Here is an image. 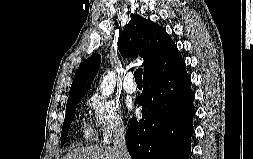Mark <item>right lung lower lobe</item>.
I'll return each instance as SVG.
<instances>
[{
    "instance_id": "obj_1",
    "label": "right lung lower lobe",
    "mask_w": 253,
    "mask_h": 159,
    "mask_svg": "<svg viewBox=\"0 0 253 159\" xmlns=\"http://www.w3.org/2000/svg\"><path fill=\"white\" fill-rule=\"evenodd\" d=\"M185 62L165 75L145 78L138 98L142 120H130L126 144L132 159H189L194 93Z\"/></svg>"
}]
</instances>
